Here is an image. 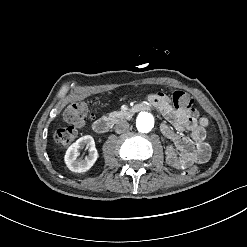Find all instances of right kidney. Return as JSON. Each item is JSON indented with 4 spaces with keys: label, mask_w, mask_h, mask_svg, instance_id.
Wrapping results in <instances>:
<instances>
[{
    "label": "right kidney",
    "mask_w": 247,
    "mask_h": 247,
    "mask_svg": "<svg viewBox=\"0 0 247 247\" xmlns=\"http://www.w3.org/2000/svg\"><path fill=\"white\" fill-rule=\"evenodd\" d=\"M89 150L85 159H79L80 148ZM98 158V152L95 148L94 138L91 135H85L72 143L65 152L64 162L70 171L75 173H85L92 168Z\"/></svg>",
    "instance_id": "right-kidney-1"
}]
</instances>
